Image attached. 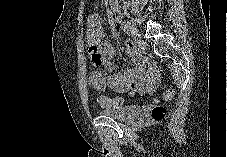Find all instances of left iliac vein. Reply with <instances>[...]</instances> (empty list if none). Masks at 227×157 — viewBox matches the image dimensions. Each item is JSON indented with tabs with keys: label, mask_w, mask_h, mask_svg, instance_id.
Here are the masks:
<instances>
[{
	"label": "left iliac vein",
	"mask_w": 227,
	"mask_h": 157,
	"mask_svg": "<svg viewBox=\"0 0 227 157\" xmlns=\"http://www.w3.org/2000/svg\"><path fill=\"white\" fill-rule=\"evenodd\" d=\"M130 31H131V35L133 37V40L135 42V44L141 49V50H145L146 49V42L142 39V37L140 36V34L138 33V31L133 28L130 27Z\"/></svg>",
	"instance_id": "1"
}]
</instances>
